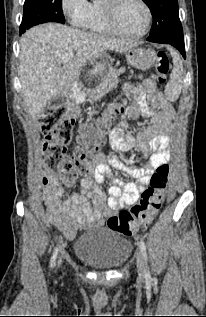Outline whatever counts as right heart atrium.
Returning a JSON list of instances; mask_svg holds the SVG:
<instances>
[{
	"mask_svg": "<svg viewBox=\"0 0 206 317\" xmlns=\"http://www.w3.org/2000/svg\"><path fill=\"white\" fill-rule=\"evenodd\" d=\"M61 8L71 25L85 27L90 13V3L87 0H61Z\"/></svg>",
	"mask_w": 206,
	"mask_h": 317,
	"instance_id": "1",
	"label": "right heart atrium"
}]
</instances>
